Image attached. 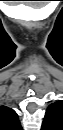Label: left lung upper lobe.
Returning a JSON list of instances; mask_svg holds the SVG:
<instances>
[{
	"label": "left lung upper lobe",
	"instance_id": "left-lung-upper-lobe-1",
	"mask_svg": "<svg viewBox=\"0 0 63 130\" xmlns=\"http://www.w3.org/2000/svg\"><path fill=\"white\" fill-rule=\"evenodd\" d=\"M42 130H63V101H56L49 105Z\"/></svg>",
	"mask_w": 63,
	"mask_h": 130
}]
</instances>
